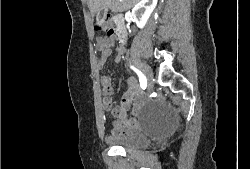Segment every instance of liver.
Instances as JSON below:
<instances>
[{
    "mask_svg": "<svg viewBox=\"0 0 250 169\" xmlns=\"http://www.w3.org/2000/svg\"><path fill=\"white\" fill-rule=\"evenodd\" d=\"M138 0H88V6L91 10L92 16L100 12V10H118V12H123L127 8L134 6Z\"/></svg>",
    "mask_w": 250,
    "mask_h": 169,
    "instance_id": "6515ba94",
    "label": "liver"
}]
</instances>
